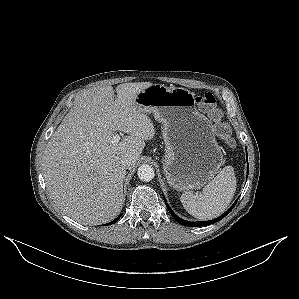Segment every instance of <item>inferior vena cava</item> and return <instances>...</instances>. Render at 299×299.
Listing matches in <instances>:
<instances>
[{
  "label": "inferior vena cava",
  "mask_w": 299,
  "mask_h": 299,
  "mask_svg": "<svg viewBox=\"0 0 299 299\" xmlns=\"http://www.w3.org/2000/svg\"><path fill=\"white\" fill-rule=\"evenodd\" d=\"M132 159L130 157H124L122 160H121V166L124 168V169H128L131 165H132Z\"/></svg>",
  "instance_id": "obj_1"
}]
</instances>
